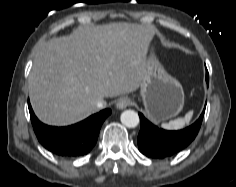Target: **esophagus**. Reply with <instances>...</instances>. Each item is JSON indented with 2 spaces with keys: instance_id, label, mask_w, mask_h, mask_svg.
Masks as SVG:
<instances>
[{
  "instance_id": "1",
  "label": "esophagus",
  "mask_w": 236,
  "mask_h": 187,
  "mask_svg": "<svg viewBox=\"0 0 236 187\" xmlns=\"http://www.w3.org/2000/svg\"><path fill=\"white\" fill-rule=\"evenodd\" d=\"M131 100L129 98H120L117 103H116V107L118 109H124L126 107H128L129 105H131Z\"/></svg>"
}]
</instances>
